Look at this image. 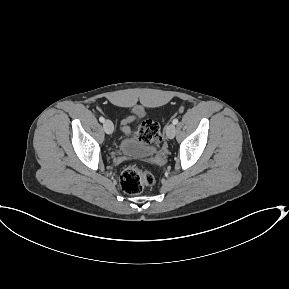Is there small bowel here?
<instances>
[{
  "instance_id": "c3829d8e",
  "label": "small bowel",
  "mask_w": 289,
  "mask_h": 289,
  "mask_svg": "<svg viewBox=\"0 0 289 289\" xmlns=\"http://www.w3.org/2000/svg\"><path fill=\"white\" fill-rule=\"evenodd\" d=\"M133 120V116H127L122 120L121 126L124 133L128 132V124Z\"/></svg>"
}]
</instances>
